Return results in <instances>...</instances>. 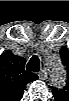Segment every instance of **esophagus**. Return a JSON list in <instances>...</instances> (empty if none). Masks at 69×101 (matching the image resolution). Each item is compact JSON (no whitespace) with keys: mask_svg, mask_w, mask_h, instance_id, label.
I'll return each mask as SVG.
<instances>
[{"mask_svg":"<svg viewBox=\"0 0 69 101\" xmlns=\"http://www.w3.org/2000/svg\"><path fill=\"white\" fill-rule=\"evenodd\" d=\"M38 76L41 80H46L47 78V71L46 69H43L41 70L39 73H38Z\"/></svg>","mask_w":69,"mask_h":101,"instance_id":"34e87169","label":"esophagus"}]
</instances>
